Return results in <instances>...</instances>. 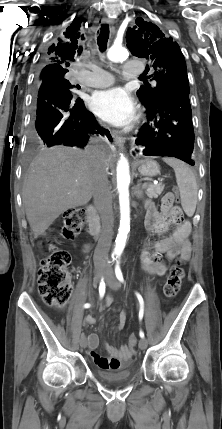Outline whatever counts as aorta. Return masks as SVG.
<instances>
[{
  "mask_svg": "<svg viewBox=\"0 0 222 429\" xmlns=\"http://www.w3.org/2000/svg\"><path fill=\"white\" fill-rule=\"evenodd\" d=\"M129 53L122 46H112L107 52V58L112 62L124 61L128 58ZM129 163L121 155L117 164V189L119 193L120 204V227L116 238L114 252L121 253L125 247L127 235L130 231V206H129Z\"/></svg>",
  "mask_w": 222,
  "mask_h": 429,
  "instance_id": "obj_1",
  "label": "aorta"
}]
</instances>
